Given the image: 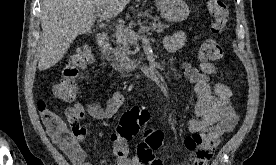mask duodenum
<instances>
[{"instance_id": "410a0bca", "label": "duodenum", "mask_w": 276, "mask_h": 165, "mask_svg": "<svg viewBox=\"0 0 276 165\" xmlns=\"http://www.w3.org/2000/svg\"><path fill=\"white\" fill-rule=\"evenodd\" d=\"M97 46L101 52H105L109 48V38L106 34H100L97 37Z\"/></svg>"}]
</instances>
